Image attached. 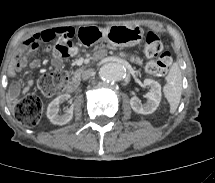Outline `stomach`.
I'll return each instance as SVG.
<instances>
[{"label":"stomach","mask_w":215,"mask_h":183,"mask_svg":"<svg viewBox=\"0 0 215 183\" xmlns=\"http://www.w3.org/2000/svg\"><path fill=\"white\" fill-rule=\"evenodd\" d=\"M97 41H105L113 47H132L143 38L144 31L138 25H112L98 28Z\"/></svg>","instance_id":"obj_1"}]
</instances>
